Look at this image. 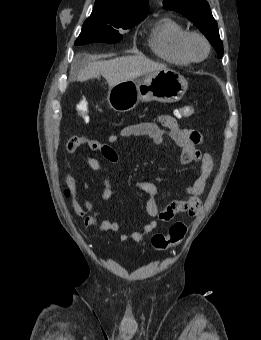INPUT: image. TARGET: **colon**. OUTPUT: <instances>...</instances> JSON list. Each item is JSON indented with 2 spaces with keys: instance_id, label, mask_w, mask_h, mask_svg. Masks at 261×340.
Here are the masks:
<instances>
[{
  "instance_id": "colon-1",
  "label": "colon",
  "mask_w": 261,
  "mask_h": 340,
  "mask_svg": "<svg viewBox=\"0 0 261 340\" xmlns=\"http://www.w3.org/2000/svg\"><path fill=\"white\" fill-rule=\"evenodd\" d=\"M77 111L80 117L88 122L90 119L89 103L82 100L77 105ZM194 114L193 106H183L175 111L177 117H190ZM186 226L182 223H175L170 226L167 233H157L151 237L152 246L159 251L168 250L183 241L186 236Z\"/></svg>"
}]
</instances>
